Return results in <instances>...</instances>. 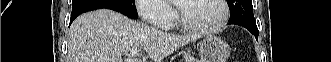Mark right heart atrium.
I'll use <instances>...</instances> for the list:
<instances>
[{
  "label": "right heart atrium",
  "mask_w": 331,
  "mask_h": 62,
  "mask_svg": "<svg viewBox=\"0 0 331 62\" xmlns=\"http://www.w3.org/2000/svg\"><path fill=\"white\" fill-rule=\"evenodd\" d=\"M136 10L142 19L160 28L169 27L174 20V12L164 0H138Z\"/></svg>",
  "instance_id": "right-heart-atrium-1"
}]
</instances>
